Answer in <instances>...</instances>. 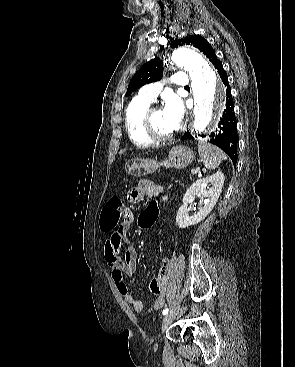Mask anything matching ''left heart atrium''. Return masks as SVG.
<instances>
[{
    "label": "left heart atrium",
    "mask_w": 295,
    "mask_h": 367,
    "mask_svg": "<svg viewBox=\"0 0 295 367\" xmlns=\"http://www.w3.org/2000/svg\"><path fill=\"white\" fill-rule=\"evenodd\" d=\"M163 114L168 125L173 130L178 129L184 115V106L181 99L173 94L168 95L165 99Z\"/></svg>",
    "instance_id": "left-heart-atrium-1"
}]
</instances>
